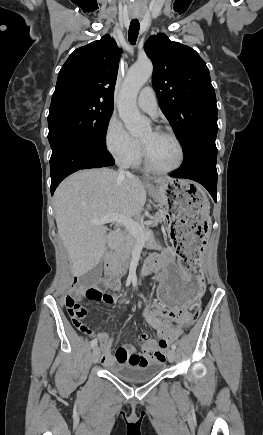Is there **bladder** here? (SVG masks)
I'll return each instance as SVG.
<instances>
[{
  "mask_svg": "<svg viewBox=\"0 0 263 435\" xmlns=\"http://www.w3.org/2000/svg\"><path fill=\"white\" fill-rule=\"evenodd\" d=\"M163 367L162 361L155 360L138 366L114 364L109 366V371L125 381L143 382L156 377Z\"/></svg>",
  "mask_w": 263,
  "mask_h": 435,
  "instance_id": "obj_1",
  "label": "bladder"
}]
</instances>
